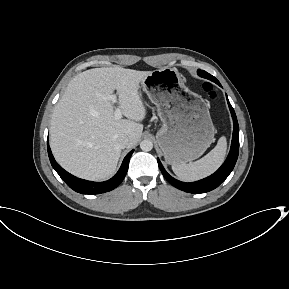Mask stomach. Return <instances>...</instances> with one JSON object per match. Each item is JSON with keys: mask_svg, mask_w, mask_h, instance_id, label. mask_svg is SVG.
Instances as JSON below:
<instances>
[{"mask_svg": "<svg viewBox=\"0 0 289 289\" xmlns=\"http://www.w3.org/2000/svg\"><path fill=\"white\" fill-rule=\"evenodd\" d=\"M141 85L163 123L156 138L165 161L174 165L199 158L214 141L208 104L186 87L175 68L152 71Z\"/></svg>", "mask_w": 289, "mask_h": 289, "instance_id": "0dacf381", "label": "stomach"}]
</instances>
